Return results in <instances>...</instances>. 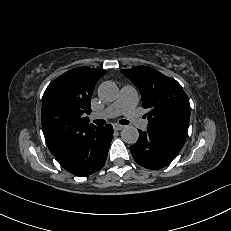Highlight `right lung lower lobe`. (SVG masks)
Returning a JSON list of instances; mask_svg holds the SVG:
<instances>
[{
	"label": "right lung lower lobe",
	"instance_id": "1",
	"mask_svg": "<svg viewBox=\"0 0 231 231\" xmlns=\"http://www.w3.org/2000/svg\"><path fill=\"white\" fill-rule=\"evenodd\" d=\"M112 136L110 124L85 127L74 134L68 147L53 155L68 172L86 177L104 166Z\"/></svg>",
	"mask_w": 231,
	"mask_h": 231
}]
</instances>
